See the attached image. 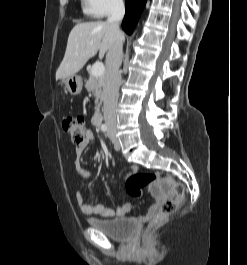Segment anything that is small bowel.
Here are the masks:
<instances>
[{"instance_id":"small-bowel-1","label":"small bowel","mask_w":247,"mask_h":265,"mask_svg":"<svg viewBox=\"0 0 247 265\" xmlns=\"http://www.w3.org/2000/svg\"><path fill=\"white\" fill-rule=\"evenodd\" d=\"M94 138L93 132L87 130L85 141L76 147L75 168L83 180L90 178L91 172L82 166L80 157L85 151L89 142L93 141ZM130 169L133 173L137 171V167L135 166H132ZM152 195L154 197V203L150 206L147 213L141 217V220L143 221L149 220L155 216L160 208L161 203L166 199L172 198L173 193L171 191H159L152 193ZM76 201L81 211L86 215H97L101 217H123L128 215L132 210V204L130 202H127L117 208H110L104 205H92L88 202V197L84 193L82 187H80L76 193Z\"/></svg>"}]
</instances>
